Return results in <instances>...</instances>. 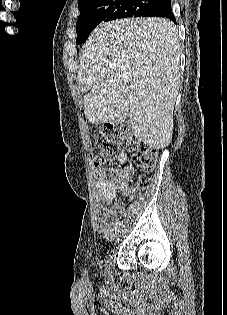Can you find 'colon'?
I'll use <instances>...</instances> for the list:
<instances>
[{"label":"colon","instance_id":"5ec220e1","mask_svg":"<svg viewBox=\"0 0 227 315\" xmlns=\"http://www.w3.org/2000/svg\"><path fill=\"white\" fill-rule=\"evenodd\" d=\"M96 145L100 155L94 158V168L102 181L112 179L111 163L120 150L130 152L132 164L143 172H151L154 169L157 150L139 140L123 124L112 123L104 126L96 138Z\"/></svg>","mask_w":227,"mask_h":315}]
</instances>
